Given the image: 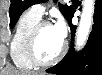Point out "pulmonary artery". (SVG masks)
<instances>
[{
    "label": "pulmonary artery",
    "mask_w": 102,
    "mask_h": 75,
    "mask_svg": "<svg viewBox=\"0 0 102 75\" xmlns=\"http://www.w3.org/2000/svg\"><path fill=\"white\" fill-rule=\"evenodd\" d=\"M30 10L38 16H42L45 11V3H38L33 5Z\"/></svg>",
    "instance_id": "obj_1"
}]
</instances>
